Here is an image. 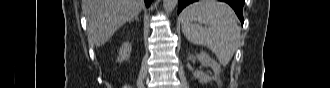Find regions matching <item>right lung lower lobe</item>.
Listing matches in <instances>:
<instances>
[{
    "label": "right lung lower lobe",
    "mask_w": 330,
    "mask_h": 88,
    "mask_svg": "<svg viewBox=\"0 0 330 88\" xmlns=\"http://www.w3.org/2000/svg\"><path fill=\"white\" fill-rule=\"evenodd\" d=\"M146 3V6L148 7L150 5V3L152 2V0H144Z\"/></svg>",
    "instance_id": "1"
}]
</instances>
